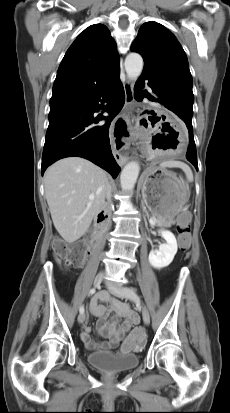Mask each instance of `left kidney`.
Returning a JSON list of instances; mask_svg holds the SVG:
<instances>
[{
	"label": "left kidney",
	"instance_id": "1",
	"mask_svg": "<svg viewBox=\"0 0 230 413\" xmlns=\"http://www.w3.org/2000/svg\"><path fill=\"white\" fill-rule=\"evenodd\" d=\"M162 238L166 243L160 245L159 250H152L149 253V263L156 269L167 267L177 253V241L174 234L168 230H160Z\"/></svg>",
	"mask_w": 230,
	"mask_h": 413
}]
</instances>
